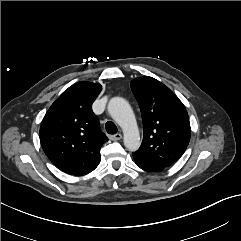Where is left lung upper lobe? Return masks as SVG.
I'll return each instance as SVG.
<instances>
[{"label": "left lung upper lobe", "instance_id": "1", "mask_svg": "<svg viewBox=\"0 0 241 241\" xmlns=\"http://www.w3.org/2000/svg\"><path fill=\"white\" fill-rule=\"evenodd\" d=\"M143 119V141L133 152L137 166L158 172L170 166L185 152L191 135L185 106L163 83L152 77L131 81Z\"/></svg>", "mask_w": 241, "mask_h": 241}]
</instances>
